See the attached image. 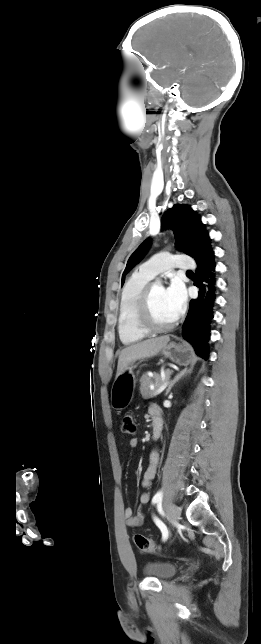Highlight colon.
Masks as SVG:
<instances>
[{"label":"colon","mask_w":261,"mask_h":644,"mask_svg":"<svg viewBox=\"0 0 261 644\" xmlns=\"http://www.w3.org/2000/svg\"><path fill=\"white\" fill-rule=\"evenodd\" d=\"M121 430L126 435H133L136 432V422L134 416L127 413L122 418ZM135 546L142 552L154 553L159 550L158 545L151 539L141 534L133 536Z\"/></svg>","instance_id":"colon-1"}]
</instances>
